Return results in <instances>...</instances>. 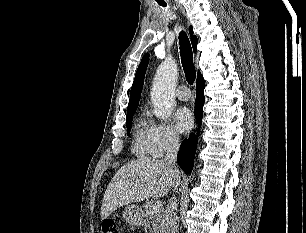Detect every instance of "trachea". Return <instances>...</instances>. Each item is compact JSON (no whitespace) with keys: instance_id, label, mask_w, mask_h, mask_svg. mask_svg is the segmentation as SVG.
I'll list each match as a JSON object with an SVG mask.
<instances>
[{"instance_id":"trachea-1","label":"trachea","mask_w":306,"mask_h":233,"mask_svg":"<svg viewBox=\"0 0 306 233\" xmlns=\"http://www.w3.org/2000/svg\"><path fill=\"white\" fill-rule=\"evenodd\" d=\"M166 6V4H160ZM181 62L189 84H193L196 78V70L193 63V53L187 34L183 31L179 34Z\"/></svg>"}]
</instances>
